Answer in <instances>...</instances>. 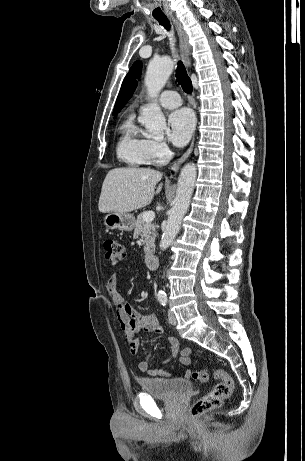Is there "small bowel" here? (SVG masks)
I'll use <instances>...</instances> for the list:
<instances>
[{"label":"small bowel","mask_w":305,"mask_h":461,"mask_svg":"<svg viewBox=\"0 0 305 461\" xmlns=\"http://www.w3.org/2000/svg\"><path fill=\"white\" fill-rule=\"evenodd\" d=\"M118 274H113L107 281V291L115 304V315L120 324L124 337L132 354H136L139 349L137 334L144 331L152 334H162L163 329L154 313H149L145 316L141 315L138 309L128 304L117 288ZM167 343L170 348L169 356L164 359L163 364L171 362L174 358L180 355V362L183 365L191 364V349H180L179 341L176 337L170 336L167 338ZM150 354L144 356L138 363V369L141 373H146L154 377H168L170 372L161 368H149ZM189 371L186 372L188 374Z\"/></svg>","instance_id":"obj_1"}]
</instances>
